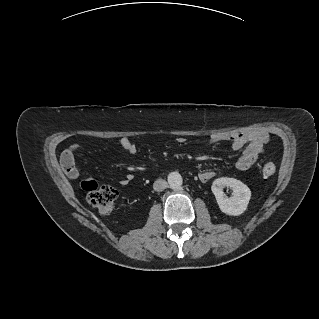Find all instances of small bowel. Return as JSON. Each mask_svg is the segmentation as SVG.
<instances>
[{
    "instance_id": "obj_1",
    "label": "small bowel",
    "mask_w": 319,
    "mask_h": 319,
    "mask_svg": "<svg viewBox=\"0 0 319 319\" xmlns=\"http://www.w3.org/2000/svg\"><path fill=\"white\" fill-rule=\"evenodd\" d=\"M267 140V135L262 131L252 132H229L222 134H214L209 140L210 146H215L221 143L230 144L231 148L235 151L244 149L242 155L236 162V168L241 171L249 169L257 161L263 152L264 143ZM121 147L129 154L137 152V146L128 138L122 137L120 139ZM71 175L75 176L74 169L71 170ZM215 176L213 171H201L198 174V179L201 182H208ZM132 179L131 175L120 180L119 184L122 186L127 185Z\"/></svg>"
}]
</instances>
